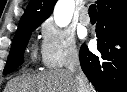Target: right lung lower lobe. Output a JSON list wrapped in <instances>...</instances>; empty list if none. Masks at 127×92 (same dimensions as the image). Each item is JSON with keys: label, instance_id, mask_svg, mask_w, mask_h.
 Returning a JSON list of instances; mask_svg holds the SVG:
<instances>
[{"label": "right lung lower lobe", "instance_id": "obj_1", "mask_svg": "<svg viewBox=\"0 0 127 92\" xmlns=\"http://www.w3.org/2000/svg\"><path fill=\"white\" fill-rule=\"evenodd\" d=\"M96 37L99 54L81 46L83 72L98 92H127V4L98 13Z\"/></svg>", "mask_w": 127, "mask_h": 92}]
</instances>
